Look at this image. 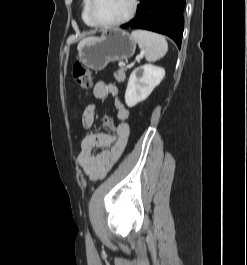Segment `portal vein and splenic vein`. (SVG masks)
Returning a JSON list of instances; mask_svg holds the SVG:
<instances>
[{
    "mask_svg": "<svg viewBox=\"0 0 247 265\" xmlns=\"http://www.w3.org/2000/svg\"><path fill=\"white\" fill-rule=\"evenodd\" d=\"M142 58H143V54H139V55L136 57V61H140ZM120 66H121V67H125V64H124V63H121ZM132 66H133V64L128 65L127 67L130 68V67H132Z\"/></svg>",
    "mask_w": 247,
    "mask_h": 265,
    "instance_id": "1",
    "label": "portal vein and splenic vein"
}]
</instances>
